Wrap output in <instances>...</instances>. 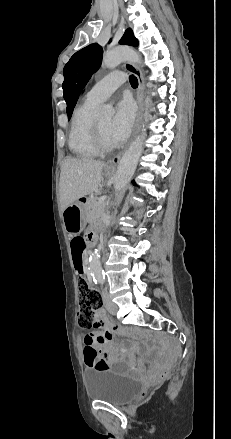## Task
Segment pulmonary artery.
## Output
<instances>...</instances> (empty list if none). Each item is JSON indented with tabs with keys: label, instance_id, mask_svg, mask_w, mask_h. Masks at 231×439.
<instances>
[{
	"label": "pulmonary artery",
	"instance_id": "e3ab8cb5",
	"mask_svg": "<svg viewBox=\"0 0 231 439\" xmlns=\"http://www.w3.org/2000/svg\"><path fill=\"white\" fill-rule=\"evenodd\" d=\"M126 81L125 75L120 71L112 72L98 81L87 93L86 99L101 103Z\"/></svg>",
	"mask_w": 231,
	"mask_h": 439
}]
</instances>
